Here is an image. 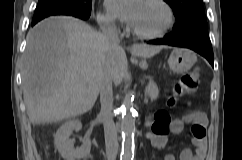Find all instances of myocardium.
I'll return each mask as SVG.
<instances>
[{
	"instance_id": "myocardium-1",
	"label": "myocardium",
	"mask_w": 242,
	"mask_h": 160,
	"mask_svg": "<svg viewBox=\"0 0 242 160\" xmlns=\"http://www.w3.org/2000/svg\"><path fill=\"white\" fill-rule=\"evenodd\" d=\"M152 2L159 4L160 6H162L166 12H167V21L165 23V25L158 31L155 32H143L140 30L135 29L134 27H132L130 25V31L136 35L137 37L143 38V39H156L159 38L161 36H163L164 34H166L174 25L175 23V12L174 9L172 8V6L168 3L167 0H151Z\"/></svg>"
}]
</instances>
